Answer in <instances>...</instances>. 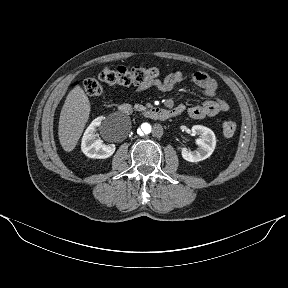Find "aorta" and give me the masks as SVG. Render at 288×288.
I'll return each instance as SVG.
<instances>
[{
    "label": "aorta",
    "instance_id": "1",
    "mask_svg": "<svg viewBox=\"0 0 288 288\" xmlns=\"http://www.w3.org/2000/svg\"><path fill=\"white\" fill-rule=\"evenodd\" d=\"M152 128L149 124H141L137 128V133L141 137H146L151 132Z\"/></svg>",
    "mask_w": 288,
    "mask_h": 288
}]
</instances>
